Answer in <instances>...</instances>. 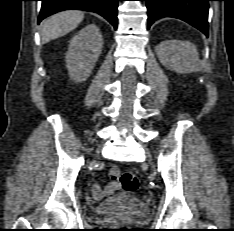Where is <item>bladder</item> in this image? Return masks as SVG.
Here are the masks:
<instances>
[{
    "label": "bladder",
    "instance_id": "31cf9c89",
    "mask_svg": "<svg viewBox=\"0 0 234 231\" xmlns=\"http://www.w3.org/2000/svg\"><path fill=\"white\" fill-rule=\"evenodd\" d=\"M94 212L97 215L117 213L146 215L148 213V206L139 198L118 194L98 204L94 208Z\"/></svg>",
    "mask_w": 234,
    "mask_h": 231
}]
</instances>
